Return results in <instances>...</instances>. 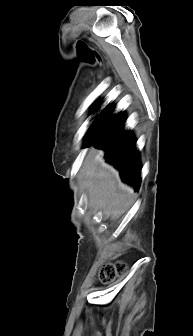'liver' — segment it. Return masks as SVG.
Listing matches in <instances>:
<instances>
[{
	"instance_id": "liver-1",
	"label": "liver",
	"mask_w": 193,
	"mask_h": 336,
	"mask_svg": "<svg viewBox=\"0 0 193 336\" xmlns=\"http://www.w3.org/2000/svg\"><path fill=\"white\" fill-rule=\"evenodd\" d=\"M89 205L115 221L133 203L134 192L120 181L118 171L105 162L102 150L90 149L80 170Z\"/></svg>"
}]
</instances>
